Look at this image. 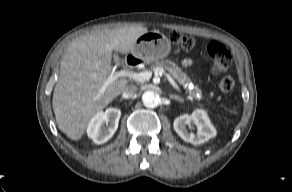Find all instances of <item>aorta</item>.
<instances>
[{"label": "aorta", "instance_id": "aorta-1", "mask_svg": "<svg viewBox=\"0 0 292 192\" xmlns=\"http://www.w3.org/2000/svg\"><path fill=\"white\" fill-rule=\"evenodd\" d=\"M142 101L146 107L154 108L159 104V96L155 92L148 90L143 93Z\"/></svg>", "mask_w": 292, "mask_h": 192}]
</instances>
